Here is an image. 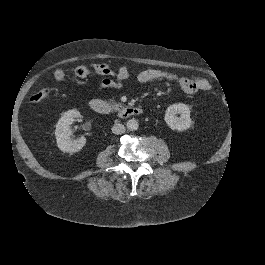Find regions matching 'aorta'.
Wrapping results in <instances>:
<instances>
[{
  "mask_svg": "<svg viewBox=\"0 0 265 265\" xmlns=\"http://www.w3.org/2000/svg\"><path fill=\"white\" fill-rule=\"evenodd\" d=\"M138 121L135 120L134 118L129 119L126 123V127L128 130L133 131L138 129Z\"/></svg>",
  "mask_w": 265,
  "mask_h": 265,
  "instance_id": "aorta-1",
  "label": "aorta"
}]
</instances>
